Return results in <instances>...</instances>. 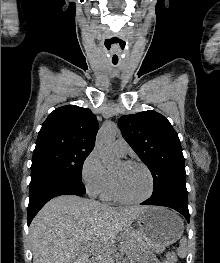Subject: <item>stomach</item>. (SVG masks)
Segmentation results:
<instances>
[{
	"instance_id": "0dacf381",
	"label": "stomach",
	"mask_w": 220,
	"mask_h": 263,
	"mask_svg": "<svg viewBox=\"0 0 220 263\" xmlns=\"http://www.w3.org/2000/svg\"><path fill=\"white\" fill-rule=\"evenodd\" d=\"M135 221L141 233V246L150 249L174 244L184 230L181 218L163 207H148L136 217Z\"/></svg>"
}]
</instances>
